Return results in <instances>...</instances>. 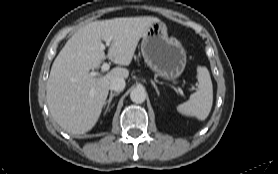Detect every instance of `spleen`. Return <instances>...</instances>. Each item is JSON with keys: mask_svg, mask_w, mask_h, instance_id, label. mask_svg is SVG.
<instances>
[{"mask_svg": "<svg viewBox=\"0 0 278 174\" xmlns=\"http://www.w3.org/2000/svg\"><path fill=\"white\" fill-rule=\"evenodd\" d=\"M197 72V91L191 94L187 102L180 104L177 110L184 115L195 116L199 120H205L213 104V86L206 67H199Z\"/></svg>", "mask_w": 278, "mask_h": 174, "instance_id": "obj_1", "label": "spleen"}]
</instances>
